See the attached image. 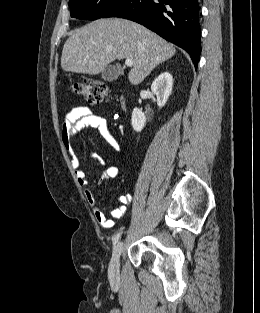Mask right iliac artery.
<instances>
[{
  "instance_id": "82829eb1",
  "label": "right iliac artery",
  "mask_w": 260,
  "mask_h": 313,
  "mask_svg": "<svg viewBox=\"0 0 260 313\" xmlns=\"http://www.w3.org/2000/svg\"><path fill=\"white\" fill-rule=\"evenodd\" d=\"M120 236H121V232L116 234V236L113 238V245H116V243L118 242Z\"/></svg>"
}]
</instances>
